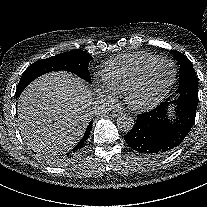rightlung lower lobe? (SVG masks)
I'll use <instances>...</instances> for the list:
<instances>
[{
	"label": "right lung lower lobe",
	"mask_w": 207,
	"mask_h": 207,
	"mask_svg": "<svg viewBox=\"0 0 207 207\" xmlns=\"http://www.w3.org/2000/svg\"><path fill=\"white\" fill-rule=\"evenodd\" d=\"M91 128H92V122L88 125L82 140L78 143L77 146H75L73 148V150H72L73 153L77 152L79 149H81L84 146V143L86 142V140L88 139V136L90 135ZM66 155L72 157L69 153ZM60 159H61V157H60ZM57 161H60V160L56 159L55 163H57Z\"/></svg>",
	"instance_id": "right-lung-lower-lobe-1"
}]
</instances>
